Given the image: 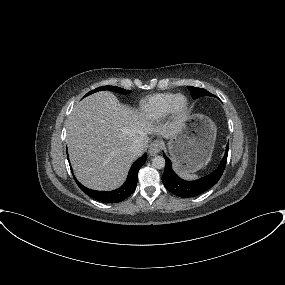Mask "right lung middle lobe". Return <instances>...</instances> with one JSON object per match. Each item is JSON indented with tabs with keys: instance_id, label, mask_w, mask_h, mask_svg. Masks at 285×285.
Here are the masks:
<instances>
[{
	"instance_id": "dd1d6c3e",
	"label": "right lung middle lobe",
	"mask_w": 285,
	"mask_h": 285,
	"mask_svg": "<svg viewBox=\"0 0 285 285\" xmlns=\"http://www.w3.org/2000/svg\"><path fill=\"white\" fill-rule=\"evenodd\" d=\"M101 90H111V91L122 93V94H127L130 92L129 90H125L123 88H119V87H115V86H103V87H99L95 90L90 91L85 96L90 95V94L97 92V91H101Z\"/></svg>"
}]
</instances>
